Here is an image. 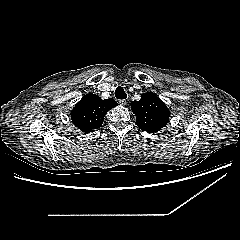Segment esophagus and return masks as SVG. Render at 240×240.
<instances>
[{
  "instance_id": "1",
  "label": "esophagus",
  "mask_w": 240,
  "mask_h": 240,
  "mask_svg": "<svg viewBox=\"0 0 240 240\" xmlns=\"http://www.w3.org/2000/svg\"><path fill=\"white\" fill-rule=\"evenodd\" d=\"M119 104L124 106L127 104V100L126 99L119 100Z\"/></svg>"
}]
</instances>
